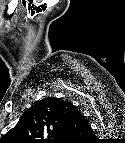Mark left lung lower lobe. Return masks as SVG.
Here are the masks:
<instances>
[{
	"instance_id": "1",
	"label": "left lung lower lobe",
	"mask_w": 125,
	"mask_h": 143,
	"mask_svg": "<svg viewBox=\"0 0 125 143\" xmlns=\"http://www.w3.org/2000/svg\"><path fill=\"white\" fill-rule=\"evenodd\" d=\"M68 113L70 114V113H77V111L75 110V108H74V106L73 105H71V104H69L68 105Z\"/></svg>"
}]
</instances>
